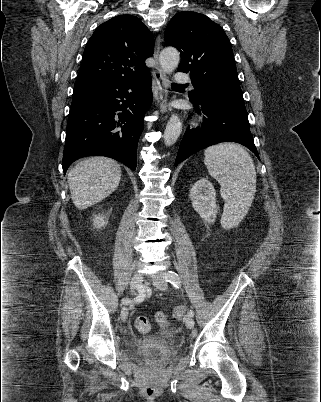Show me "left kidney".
Instances as JSON below:
<instances>
[{
	"label": "left kidney",
	"instance_id": "5707ae66",
	"mask_svg": "<svg viewBox=\"0 0 321 402\" xmlns=\"http://www.w3.org/2000/svg\"><path fill=\"white\" fill-rule=\"evenodd\" d=\"M189 198L194 210L203 220L209 224L215 222L217 213L216 192L208 179L201 178L198 180L191 188Z\"/></svg>",
	"mask_w": 321,
	"mask_h": 402
}]
</instances>
